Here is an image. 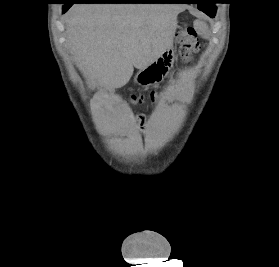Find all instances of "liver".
<instances>
[{"label":"liver","instance_id":"liver-1","mask_svg":"<svg viewBox=\"0 0 279 267\" xmlns=\"http://www.w3.org/2000/svg\"><path fill=\"white\" fill-rule=\"evenodd\" d=\"M185 7L158 3L75 5L67 42L85 77L103 90L123 87L173 44Z\"/></svg>","mask_w":279,"mask_h":267}]
</instances>
